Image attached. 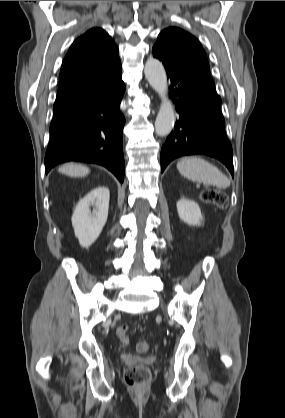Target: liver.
Wrapping results in <instances>:
<instances>
[{"mask_svg": "<svg viewBox=\"0 0 285 418\" xmlns=\"http://www.w3.org/2000/svg\"><path fill=\"white\" fill-rule=\"evenodd\" d=\"M58 171L71 177H84L90 172L88 167L72 163L61 166Z\"/></svg>", "mask_w": 285, "mask_h": 418, "instance_id": "obj_1", "label": "liver"}]
</instances>
